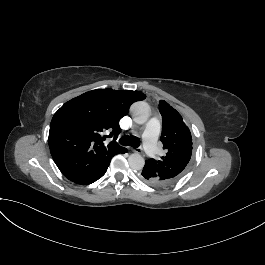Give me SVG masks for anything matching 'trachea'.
I'll return each instance as SVG.
<instances>
[{
  "label": "trachea",
  "mask_w": 265,
  "mask_h": 265,
  "mask_svg": "<svg viewBox=\"0 0 265 265\" xmlns=\"http://www.w3.org/2000/svg\"><path fill=\"white\" fill-rule=\"evenodd\" d=\"M120 143L124 146H131L137 148L140 145V140L135 136L125 135L122 138H120Z\"/></svg>",
  "instance_id": "obj_1"
}]
</instances>
